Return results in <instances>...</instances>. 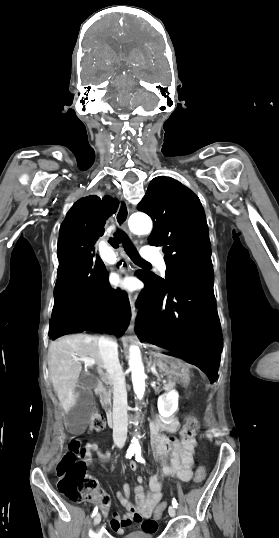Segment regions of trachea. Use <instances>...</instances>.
I'll return each instance as SVG.
<instances>
[{
	"instance_id": "trachea-1",
	"label": "trachea",
	"mask_w": 279,
	"mask_h": 538,
	"mask_svg": "<svg viewBox=\"0 0 279 538\" xmlns=\"http://www.w3.org/2000/svg\"><path fill=\"white\" fill-rule=\"evenodd\" d=\"M109 243L113 248H118L119 244L122 243L125 252L134 262L139 264H148L146 260L140 257L133 243L129 239L128 235L125 232L117 231L114 233V238L109 239Z\"/></svg>"
}]
</instances>
